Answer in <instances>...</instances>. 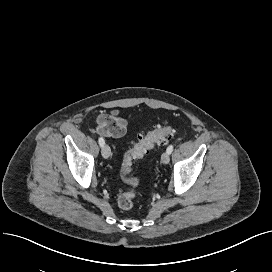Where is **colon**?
<instances>
[{
  "label": "colon",
  "mask_w": 272,
  "mask_h": 272,
  "mask_svg": "<svg viewBox=\"0 0 272 272\" xmlns=\"http://www.w3.org/2000/svg\"><path fill=\"white\" fill-rule=\"evenodd\" d=\"M125 120L118 114H104L97 120V130L105 136H121L125 132ZM169 125L158 126L153 131L141 136L132 142V147L126 151L122 161V178L130 189L119 195L117 204L122 210H130L134 206L136 190L140 180L131 176L135 160L142 157L161 143H166L172 133Z\"/></svg>",
  "instance_id": "5ec220e1"
}]
</instances>
